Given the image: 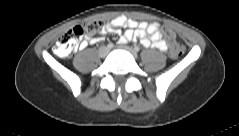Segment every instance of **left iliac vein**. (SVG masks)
Masks as SVG:
<instances>
[{
    "label": "left iliac vein",
    "instance_id": "left-iliac-vein-1",
    "mask_svg": "<svg viewBox=\"0 0 239 136\" xmlns=\"http://www.w3.org/2000/svg\"><path fill=\"white\" fill-rule=\"evenodd\" d=\"M118 48L124 49V50L128 51L129 53H131L134 57H137L136 52L133 49H131L130 47H128V46L119 45Z\"/></svg>",
    "mask_w": 239,
    "mask_h": 136
}]
</instances>
